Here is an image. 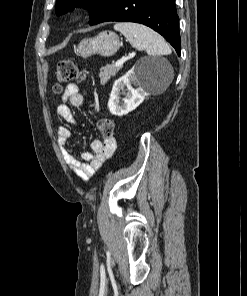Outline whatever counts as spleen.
I'll list each match as a JSON object with an SVG mask.
<instances>
[{"label": "spleen", "mask_w": 247, "mask_h": 296, "mask_svg": "<svg viewBox=\"0 0 247 296\" xmlns=\"http://www.w3.org/2000/svg\"><path fill=\"white\" fill-rule=\"evenodd\" d=\"M114 29L122 33L132 47L139 51L144 50L150 56H162L171 53V49L164 38L149 27L137 23L123 22L116 23ZM169 70L170 83L173 79V71L171 67Z\"/></svg>", "instance_id": "3e777b00"}]
</instances>
